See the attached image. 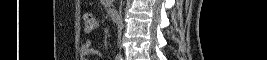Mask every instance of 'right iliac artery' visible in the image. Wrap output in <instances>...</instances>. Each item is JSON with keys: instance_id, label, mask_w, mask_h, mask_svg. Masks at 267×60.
<instances>
[{"instance_id": "right-iliac-artery-1", "label": "right iliac artery", "mask_w": 267, "mask_h": 60, "mask_svg": "<svg viewBox=\"0 0 267 60\" xmlns=\"http://www.w3.org/2000/svg\"><path fill=\"white\" fill-rule=\"evenodd\" d=\"M116 60H123V57H122L121 55L118 54V55L116 56Z\"/></svg>"}]
</instances>
